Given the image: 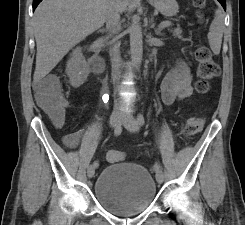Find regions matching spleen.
I'll list each match as a JSON object with an SVG mask.
<instances>
[{
    "instance_id": "spleen-1",
    "label": "spleen",
    "mask_w": 245,
    "mask_h": 225,
    "mask_svg": "<svg viewBox=\"0 0 245 225\" xmlns=\"http://www.w3.org/2000/svg\"><path fill=\"white\" fill-rule=\"evenodd\" d=\"M223 31L224 16L221 9H217L208 33L210 48L215 55H218L220 53Z\"/></svg>"
}]
</instances>
